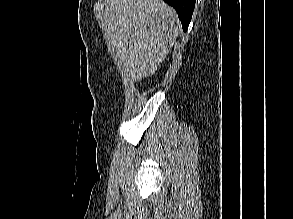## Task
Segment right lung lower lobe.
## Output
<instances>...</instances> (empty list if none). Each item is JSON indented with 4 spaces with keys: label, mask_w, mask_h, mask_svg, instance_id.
<instances>
[{
    "label": "right lung lower lobe",
    "mask_w": 293,
    "mask_h": 219,
    "mask_svg": "<svg viewBox=\"0 0 293 219\" xmlns=\"http://www.w3.org/2000/svg\"><path fill=\"white\" fill-rule=\"evenodd\" d=\"M171 5L178 14V17L182 23L184 31H187L189 23L192 18V14L195 7L196 0H164Z\"/></svg>",
    "instance_id": "98d812e1"
}]
</instances>
